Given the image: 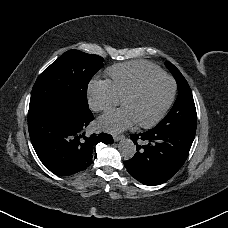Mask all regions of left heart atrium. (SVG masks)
<instances>
[{
  "label": "left heart atrium",
  "instance_id": "39dd6f15",
  "mask_svg": "<svg viewBox=\"0 0 228 228\" xmlns=\"http://www.w3.org/2000/svg\"><path fill=\"white\" fill-rule=\"evenodd\" d=\"M120 118H124V121H120ZM100 121L105 124V128L119 131L132 124L135 121V117L132 111L126 107L108 113Z\"/></svg>",
  "mask_w": 228,
  "mask_h": 228
}]
</instances>
